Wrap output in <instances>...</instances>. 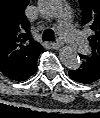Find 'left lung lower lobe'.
<instances>
[{"mask_svg":"<svg viewBox=\"0 0 100 118\" xmlns=\"http://www.w3.org/2000/svg\"><path fill=\"white\" fill-rule=\"evenodd\" d=\"M82 64L76 70L68 72L70 78L78 83L90 84L100 79V65L90 61L84 55H80Z\"/></svg>","mask_w":100,"mask_h":118,"instance_id":"0a47b994","label":"left lung lower lobe"}]
</instances>
